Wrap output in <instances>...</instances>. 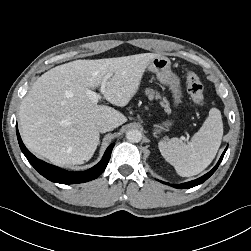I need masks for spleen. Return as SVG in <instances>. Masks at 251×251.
Here are the masks:
<instances>
[{"mask_svg":"<svg viewBox=\"0 0 251 251\" xmlns=\"http://www.w3.org/2000/svg\"><path fill=\"white\" fill-rule=\"evenodd\" d=\"M223 136L221 112L212 108L202 127L189 143L178 138L160 141L158 147L165 160L174 166L182 177L199 174L206 169L215 158Z\"/></svg>","mask_w":251,"mask_h":251,"instance_id":"3e777b00","label":"spleen"}]
</instances>
